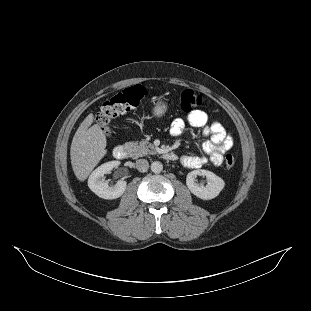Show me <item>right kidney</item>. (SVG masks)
Instances as JSON below:
<instances>
[{"label": "right kidney", "mask_w": 311, "mask_h": 311, "mask_svg": "<svg viewBox=\"0 0 311 311\" xmlns=\"http://www.w3.org/2000/svg\"><path fill=\"white\" fill-rule=\"evenodd\" d=\"M119 165L120 161L106 162L91 173L88 186L97 196L103 199H116L123 195L127 185L126 181L119 180L114 186H109L104 178V174L110 173L113 168Z\"/></svg>", "instance_id": "1"}]
</instances>
